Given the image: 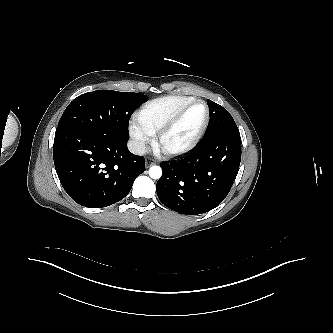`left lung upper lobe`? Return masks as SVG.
<instances>
[{
  "label": "left lung upper lobe",
  "mask_w": 333,
  "mask_h": 333,
  "mask_svg": "<svg viewBox=\"0 0 333 333\" xmlns=\"http://www.w3.org/2000/svg\"><path fill=\"white\" fill-rule=\"evenodd\" d=\"M210 113V121L205 132L204 138H208L222 133H235L239 134L237 125L235 124L232 116L222 106L207 100Z\"/></svg>",
  "instance_id": "left-lung-upper-lobe-1"
}]
</instances>
